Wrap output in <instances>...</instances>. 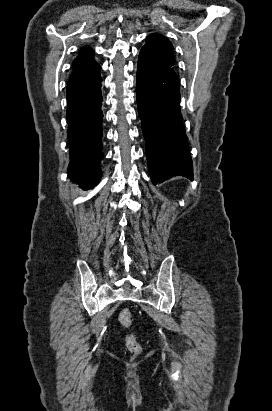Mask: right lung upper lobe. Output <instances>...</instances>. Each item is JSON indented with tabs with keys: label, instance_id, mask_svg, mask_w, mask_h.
<instances>
[{
	"label": "right lung upper lobe",
	"instance_id": "1",
	"mask_svg": "<svg viewBox=\"0 0 272 411\" xmlns=\"http://www.w3.org/2000/svg\"><path fill=\"white\" fill-rule=\"evenodd\" d=\"M93 49L84 46L73 61V73L68 81L67 93L81 90L92 84L100 75V65L93 58Z\"/></svg>",
	"mask_w": 272,
	"mask_h": 411
}]
</instances>
